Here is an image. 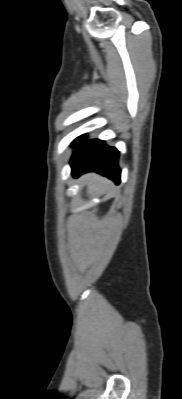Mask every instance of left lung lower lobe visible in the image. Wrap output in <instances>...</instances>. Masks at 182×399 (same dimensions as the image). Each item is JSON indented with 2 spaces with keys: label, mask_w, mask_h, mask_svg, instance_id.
Instances as JSON below:
<instances>
[{
  "label": "left lung lower lobe",
  "mask_w": 182,
  "mask_h": 399,
  "mask_svg": "<svg viewBox=\"0 0 182 399\" xmlns=\"http://www.w3.org/2000/svg\"><path fill=\"white\" fill-rule=\"evenodd\" d=\"M72 144L75 150L70 165L75 178L94 171L108 177L116 184L120 183L119 152L116 148L109 147L98 139L86 141V135L77 137Z\"/></svg>",
  "instance_id": "0a47b994"
}]
</instances>
